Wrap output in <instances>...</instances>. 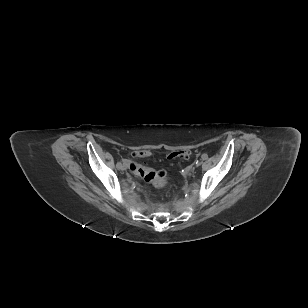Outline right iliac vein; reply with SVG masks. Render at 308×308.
<instances>
[{"mask_svg":"<svg viewBox=\"0 0 308 308\" xmlns=\"http://www.w3.org/2000/svg\"><path fill=\"white\" fill-rule=\"evenodd\" d=\"M117 168L119 170H125L126 169V166L124 164H120L119 166H117Z\"/></svg>","mask_w":308,"mask_h":308,"instance_id":"obj_1","label":"right iliac vein"}]
</instances>
